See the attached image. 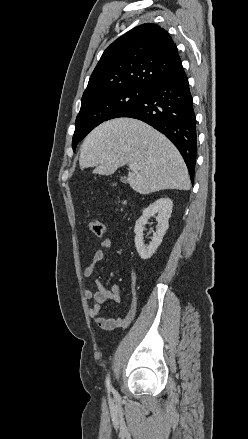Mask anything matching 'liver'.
<instances>
[{"mask_svg":"<svg viewBox=\"0 0 248 439\" xmlns=\"http://www.w3.org/2000/svg\"><path fill=\"white\" fill-rule=\"evenodd\" d=\"M135 162L128 183L146 195L166 189L189 190L185 162L177 148L146 123L132 118H115L96 127L85 138L80 168L95 167L93 173L112 175L119 167Z\"/></svg>","mask_w":248,"mask_h":439,"instance_id":"liver-1","label":"liver"}]
</instances>
